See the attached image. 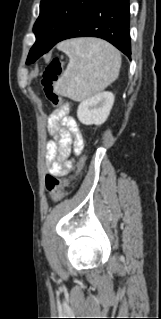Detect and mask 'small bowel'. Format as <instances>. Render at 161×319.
Listing matches in <instances>:
<instances>
[{"label":"small bowel","mask_w":161,"mask_h":319,"mask_svg":"<svg viewBox=\"0 0 161 319\" xmlns=\"http://www.w3.org/2000/svg\"><path fill=\"white\" fill-rule=\"evenodd\" d=\"M48 131L53 135V139L47 143L48 173L65 176L74 166L69 159L70 146L73 145L75 153H80L84 147L81 130L73 117L57 108L49 116Z\"/></svg>","instance_id":"1"}]
</instances>
